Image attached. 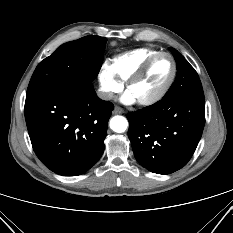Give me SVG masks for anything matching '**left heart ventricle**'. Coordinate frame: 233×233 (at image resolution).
I'll return each mask as SVG.
<instances>
[{
    "label": "left heart ventricle",
    "mask_w": 233,
    "mask_h": 233,
    "mask_svg": "<svg viewBox=\"0 0 233 233\" xmlns=\"http://www.w3.org/2000/svg\"><path fill=\"white\" fill-rule=\"evenodd\" d=\"M172 63L168 57H160L149 69L146 76L130 87L136 100L145 99L156 93L170 78Z\"/></svg>",
    "instance_id": "obj_1"
}]
</instances>
